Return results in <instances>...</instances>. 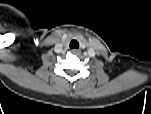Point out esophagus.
Wrapping results in <instances>:
<instances>
[{
    "label": "esophagus",
    "mask_w": 151,
    "mask_h": 114,
    "mask_svg": "<svg viewBox=\"0 0 151 114\" xmlns=\"http://www.w3.org/2000/svg\"><path fill=\"white\" fill-rule=\"evenodd\" d=\"M77 51L74 49V50H72V53H76Z\"/></svg>",
    "instance_id": "esophagus-1"
}]
</instances>
